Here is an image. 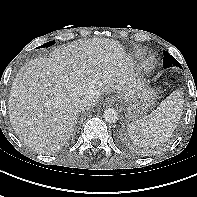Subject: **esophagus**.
Segmentation results:
<instances>
[{"label": "esophagus", "mask_w": 197, "mask_h": 197, "mask_svg": "<svg viewBox=\"0 0 197 197\" xmlns=\"http://www.w3.org/2000/svg\"><path fill=\"white\" fill-rule=\"evenodd\" d=\"M106 102L108 103V104H115V102H116V98L115 97H109V98H107L106 99Z\"/></svg>", "instance_id": "34e87169"}]
</instances>
